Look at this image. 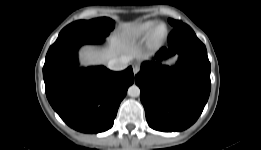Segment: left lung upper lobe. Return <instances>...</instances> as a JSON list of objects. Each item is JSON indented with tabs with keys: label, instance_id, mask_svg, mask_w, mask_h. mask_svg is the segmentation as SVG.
<instances>
[{
	"label": "left lung upper lobe",
	"instance_id": "1",
	"mask_svg": "<svg viewBox=\"0 0 261 150\" xmlns=\"http://www.w3.org/2000/svg\"><path fill=\"white\" fill-rule=\"evenodd\" d=\"M168 21L174 28L184 24V23H182V21H179V20L169 19Z\"/></svg>",
	"mask_w": 261,
	"mask_h": 150
}]
</instances>
